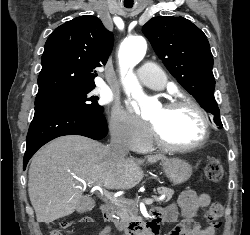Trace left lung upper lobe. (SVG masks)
<instances>
[{
	"mask_svg": "<svg viewBox=\"0 0 250 235\" xmlns=\"http://www.w3.org/2000/svg\"><path fill=\"white\" fill-rule=\"evenodd\" d=\"M169 72L222 126L214 97L213 56L205 34L183 17L159 16L142 28Z\"/></svg>",
	"mask_w": 250,
	"mask_h": 235,
	"instance_id": "1",
	"label": "left lung upper lobe"
}]
</instances>
